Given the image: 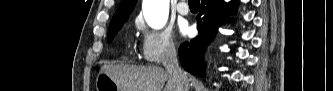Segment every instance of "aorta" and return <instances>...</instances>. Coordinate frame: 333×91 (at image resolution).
Masks as SVG:
<instances>
[{"instance_id": "obj_1", "label": "aorta", "mask_w": 333, "mask_h": 91, "mask_svg": "<svg viewBox=\"0 0 333 91\" xmlns=\"http://www.w3.org/2000/svg\"><path fill=\"white\" fill-rule=\"evenodd\" d=\"M143 13L150 27L160 29L168 19L169 0H143Z\"/></svg>"}]
</instances>
